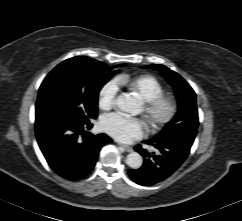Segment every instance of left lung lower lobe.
Returning <instances> with one entry per match:
<instances>
[{
    "label": "left lung lower lobe",
    "mask_w": 242,
    "mask_h": 221,
    "mask_svg": "<svg viewBox=\"0 0 242 221\" xmlns=\"http://www.w3.org/2000/svg\"><path fill=\"white\" fill-rule=\"evenodd\" d=\"M194 139L169 138L149 139L144 141L156 148L149 153L141 147L135 146V150L144 157L143 166L136 170H130L129 176L137 184L146 186L154 185L171 176L185 161L189 155Z\"/></svg>",
    "instance_id": "left-lung-lower-lobe-1"
}]
</instances>
